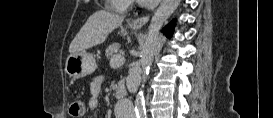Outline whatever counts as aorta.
<instances>
[{"mask_svg":"<svg viewBox=\"0 0 273 118\" xmlns=\"http://www.w3.org/2000/svg\"><path fill=\"white\" fill-rule=\"evenodd\" d=\"M180 0H163L159 8L154 13L150 25L148 27V32L143 44L140 64L142 68V82L144 83L147 78L150 66L152 64L157 46H158V36L159 31L162 28L166 20L173 14ZM135 111L139 115L145 114V101L143 92L140 91L136 98Z\"/></svg>","mask_w":273,"mask_h":118,"instance_id":"obj_1","label":"aorta"}]
</instances>
